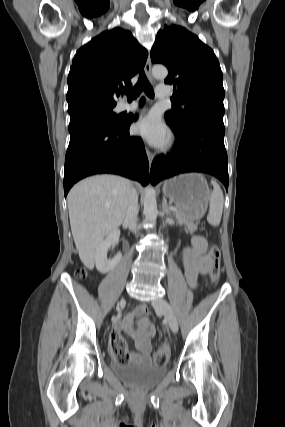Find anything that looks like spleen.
I'll use <instances>...</instances> for the list:
<instances>
[{"mask_svg": "<svg viewBox=\"0 0 285 427\" xmlns=\"http://www.w3.org/2000/svg\"><path fill=\"white\" fill-rule=\"evenodd\" d=\"M212 184L213 192L209 199V213L207 215V221L212 226H218L222 217L224 197L220 186L215 181H212Z\"/></svg>", "mask_w": 285, "mask_h": 427, "instance_id": "obj_1", "label": "spleen"}]
</instances>
